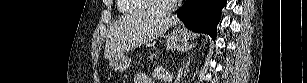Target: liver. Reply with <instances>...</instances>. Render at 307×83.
<instances>
[{
  "label": "liver",
  "mask_w": 307,
  "mask_h": 83,
  "mask_svg": "<svg viewBox=\"0 0 307 83\" xmlns=\"http://www.w3.org/2000/svg\"><path fill=\"white\" fill-rule=\"evenodd\" d=\"M178 20L151 12L132 14L117 20L110 28L105 45L104 56L110 59L126 48L151 42L164 34Z\"/></svg>",
  "instance_id": "6515ba94"
}]
</instances>
